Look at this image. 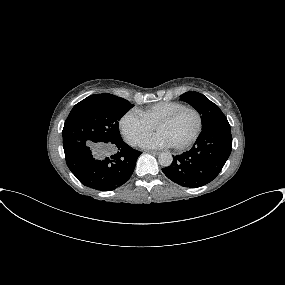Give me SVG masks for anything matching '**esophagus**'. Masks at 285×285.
<instances>
[{
    "label": "esophagus",
    "mask_w": 285,
    "mask_h": 285,
    "mask_svg": "<svg viewBox=\"0 0 285 285\" xmlns=\"http://www.w3.org/2000/svg\"><path fill=\"white\" fill-rule=\"evenodd\" d=\"M148 153H150V154H152V155H158L159 154V152H157V151H152V150H149V151H147Z\"/></svg>",
    "instance_id": "1"
}]
</instances>
